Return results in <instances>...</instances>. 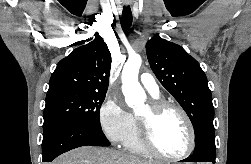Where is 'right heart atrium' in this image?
I'll use <instances>...</instances> for the list:
<instances>
[{"label":"right heart atrium","mask_w":251,"mask_h":164,"mask_svg":"<svg viewBox=\"0 0 251 164\" xmlns=\"http://www.w3.org/2000/svg\"><path fill=\"white\" fill-rule=\"evenodd\" d=\"M99 123L109 141L121 143L132 129L133 116L120 101L110 97L100 107Z\"/></svg>","instance_id":"d8ad5b80"}]
</instances>
